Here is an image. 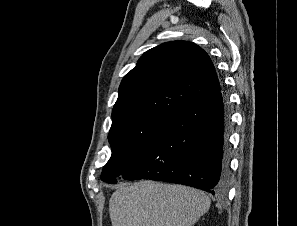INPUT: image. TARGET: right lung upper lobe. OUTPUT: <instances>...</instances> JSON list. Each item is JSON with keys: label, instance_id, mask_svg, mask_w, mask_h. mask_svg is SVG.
<instances>
[{"label": "right lung upper lobe", "instance_id": "cb5924a9", "mask_svg": "<svg viewBox=\"0 0 297 226\" xmlns=\"http://www.w3.org/2000/svg\"><path fill=\"white\" fill-rule=\"evenodd\" d=\"M219 91L214 65L202 48L188 41L166 42L144 53L123 78L112 124L143 114H173Z\"/></svg>", "mask_w": 297, "mask_h": 226}]
</instances>
